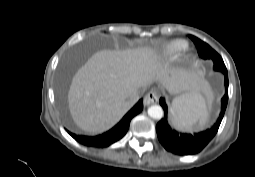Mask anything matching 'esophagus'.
<instances>
[{
	"label": "esophagus",
	"instance_id": "esophagus-1",
	"mask_svg": "<svg viewBox=\"0 0 255 177\" xmlns=\"http://www.w3.org/2000/svg\"><path fill=\"white\" fill-rule=\"evenodd\" d=\"M158 99H159V97H158V94L156 93V91L151 90L145 95V97L143 99L144 106L154 104L158 101Z\"/></svg>",
	"mask_w": 255,
	"mask_h": 177
}]
</instances>
